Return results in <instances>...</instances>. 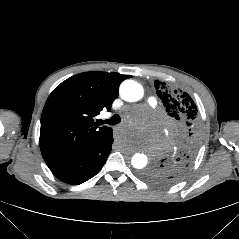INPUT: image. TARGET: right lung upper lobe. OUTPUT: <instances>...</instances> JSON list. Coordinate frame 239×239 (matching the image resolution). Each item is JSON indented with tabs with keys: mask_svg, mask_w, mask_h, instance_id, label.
Instances as JSON below:
<instances>
[{
	"mask_svg": "<svg viewBox=\"0 0 239 239\" xmlns=\"http://www.w3.org/2000/svg\"><path fill=\"white\" fill-rule=\"evenodd\" d=\"M130 75L87 72L74 75L48 97L41 116L40 149L48 166L81 152L110 127L93 117L110 109L120 83Z\"/></svg>",
	"mask_w": 239,
	"mask_h": 239,
	"instance_id": "1",
	"label": "right lung upper lobe"
}]
</instances>
